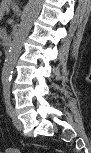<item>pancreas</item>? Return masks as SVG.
Listing matches in <instances>:
<instances>
[{
  "label": "pancreas",
  "instance_id": "obj_1",
  "mask_svg": "<svg viewBox=\"0 0 91 153\" xmlns=\"http://www.w3.org/2000/svg\"><path fill=\"white\" fill-rule=\"evenodd\" d=\"M7 11H9V6L6 3H4L1 6V13L7 12Z\"/></svg>",
  "mask_w": 91,
  "mask_h": 153
}]
</instances>
